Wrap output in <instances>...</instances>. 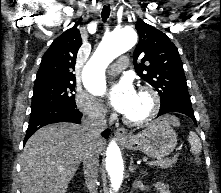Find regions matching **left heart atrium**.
I'll list each match as a JSON object with an SVG mask.
<instances>
[{
	"label": "left heart atrium",
	"instance_id": "obj_1",
	"mask_svg": "<svg viewBox=\"0 0 221 193\" xmlns=\"http://www.w3.org/2000/svg\"><path fill=\"white\" fill-rule=\"evenodd\" d=\"M137 92L129 79L116 82L109 92L112 107L119 113L126 114L132 107Z\"/></svg>",
	"mask_w": 221,
	"mask_h": 193
}]
</instances>
